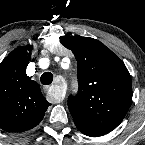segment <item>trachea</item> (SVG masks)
Returning <instances> with one entry per match:
<instances>
[{
  "mask_svg": "<svg viewBox=\"0 0 145 145\" xmlns=\"http://www.w3.org/2000/svg\"><path fill=\"white\" fill-rule=\"evenodd\" d=\"M40 80L43 85H49L53 81V75L50 72H45L41 75Z\"/></svg>",
  "mask_w": 145,
  "mask_h": 145,
  "instance_id": "1",
  "label": "trachea"
}]
</instances>
